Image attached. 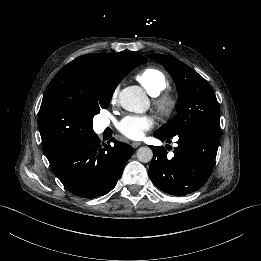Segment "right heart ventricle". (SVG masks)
<instances>
[{
    "mask_svg": "<svg viewBox=\"0 0 261 261\" xmlns=\"http://www.w3.org/2000/svg\"><path fill=\"white\" fill-rule=\"evenodd\" d=\"M145 91L151 96H157L168 86V79L165 73L157 67H147L138 76Z\"/></svg>",
    "mask_w": 261,
    "mask_h": 261,
    "instance_id": "e07e8e85",
    "label": "right heart ventricle"
}]
</instances>
